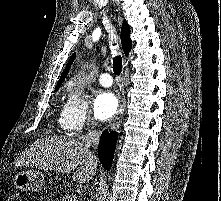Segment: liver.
<instances>
[{"instance_id":"obj_1","label":"liver","mask_w":221,"mask_h":201,"mask_svg":"<svg viewBox=\"0 0 221 201\" xmlns=\"http://www.w3.org/2000/svg\"><path fill=\"white\" fill-rule=\"evenodd\" d=\"M98 160L90 146L62 136H46L29 145L17 158L18 166H30L62 173L74 171L73 180L83 184L95 175Z\"/></svg>"}]
</instances>
